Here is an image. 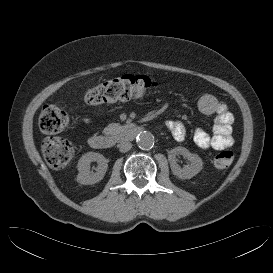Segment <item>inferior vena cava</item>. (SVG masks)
Here are the masks:
<instances>
[{
  "label": "inferior vena cava",
  "instance_id": "602c4592",
  "mask_svg": "<svg viewBox=\"0 0 273 273\" xmlns=\"http://www.w3.org/2000/svg\"><path fill=\"white\" fill-rule=\"evenodd\" d=\"M118 148L120 152H128L132 148V144L128 141H123L120 144H118Z\"/></svg>",
  "mask_w": 273,
  "mask_h": 273
}]
</instances>
